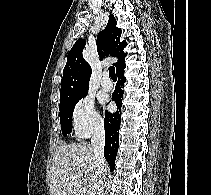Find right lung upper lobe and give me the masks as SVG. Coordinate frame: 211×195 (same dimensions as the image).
I'll return each mask as SVG.
<instances>
[{
  "instance_id": "obj_1",
  "label": "right lung upper lobe",
  "mask_w": 211,
  "mask_h": 195,
  "mask_svg": "<svg viewBox=\"0 0 211 195\" xmlns=\"http://www.w3.org/2000/svg\"><path fill=\"white\" fill-rule=\"evenodd\" d=\"M116 19L111 14L107 26L97 36V51L102 59L110 55L118 58L116 72L126 67L124 58L126 53L123 49L126 47V41L120 42L121 29L116 27ZM85 40L80 38L73 45L68 53L67 63L63 70L61 80L60 103L82 97L88 93L91 67L82 56Z\"/></svg>"
}]
</instances>
